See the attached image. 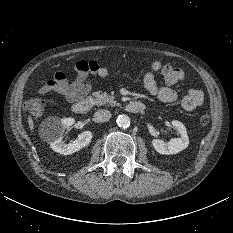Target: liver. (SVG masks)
Wrapping results in <instances>:
<instances>
[{
	"instance_id": "1",
	"label": "liver",
	"mask_w": 233,
	"mask_h": 233,
	"mask_svg": "<svg viewBox=\"0 0 233 233\" xmlns=\"http://www.w3.org/2000/svg\"><path fill=\"white\" fill-rule=\"evenodd\" d=\"M28 124H29L30 130L33 131V129H34V124H33L32 118H31L30 116L28 117Z\"/></svg>"
}]
</instances>
